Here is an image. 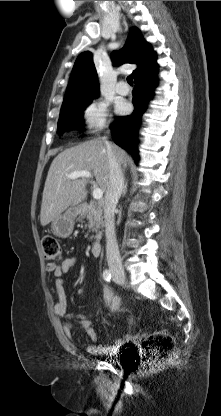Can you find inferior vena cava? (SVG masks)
Listing matches in <instances>:
<instances>
[{
    "label": "inferior vena cava",
    "mask_w": 221,
    "mask_h": 416,
    "mask_svg": "<svg viewBox=\"0 0 221 416\" xmlns=\"http://www.w3.org/2000/svg\"><path fill=\"white\" fill-rule=\"evenodd\" d=\"M107 147V156L110 169L109 186L105 194L104 219L106 236V257L111 272L123 271L119 247L115 233V209L124 187V177L121 166L112 150V145L103 137Z\"/></svg>",
    "instance_id": "obj_1"
}]
</instances>
